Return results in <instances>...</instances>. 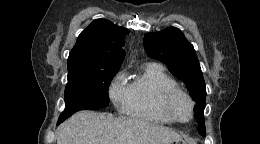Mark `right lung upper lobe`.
Wrapping results in <instances>:
<instances>
[{"instance_id": "right-lung-upper-lobe-1", "label": "right lung upper lobe", "mask_w": 260, "mask_h": 144, "mask_svg": "<svg viewBox=\"0 0 260 144\" xmlns=\"http://www.w3.org/2000/svg\"><path fill=\"white\" fill-rule=\"evenodd\" d=\"M129 32L107 19L94 20L78 36L68 58V74L119 69L123 37Z\"/></svg>"}]
</instances>
